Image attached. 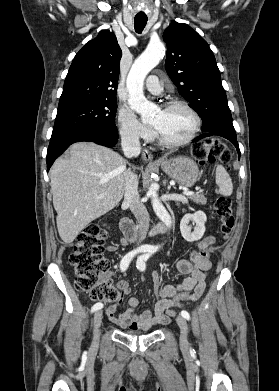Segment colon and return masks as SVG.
<instances>
[{
  "instance_id": "colon-1",
  "label": "colon",
  "mask_w": 279,
  "mask_h": 391,
  "mask_svg": "<svg viewBox=\"0 0 279 391\" xmlns=\"http://www.w3.org/2000/svg\"><path fill=\"white\" fill-rule=\"evenodd\" d=\"M191 153L200 164L230 161V152L225 144L217 139H206L195 144L191 148ZM214 209L220 220V233L227 238L235 225L231 199L219 196ZM106 239L105 224L89 225L78 235L69 260L75 272L77 290L87 293L94 301L116 302L119 294L105 279L109 269L108 261L103 257ZM202 256L210 258L209 251H202ZM189 296L190 292L178 293L170 299L169 308L174 309L188 301Z\"/></svg>"
}]
</instances>
